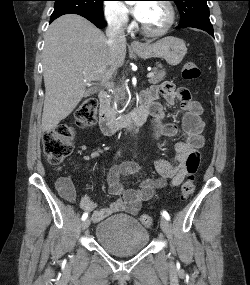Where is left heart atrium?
Segmentation results:
<instances>
[{"instance_id":"obj_1","label":"left heart atrium","mask_w":250,"mask_h":285,"mask_svg":"<svg viewBox=\"0 0 250 285\" xmlns=\"http://www.w3.org/2000/svg\"><path fill=\"white\" fill-rule=\"evenodd\" d=\"M148 3L146 2H142L137 4L134 8H133V15L139 20V21H143L147 8H148Z\"/></svg>"}]
</instances>
